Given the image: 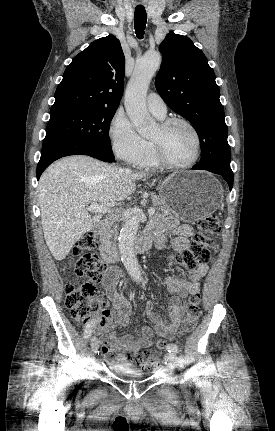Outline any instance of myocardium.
Wrapping results in <instances>:
<instances>
[{"label": "myocardium", "mask_w": 275, "mask_h": 431, "mask_svg": "<svg viewBox=\"0 0 275 431\" xmlns=\"http://www.w3.org/2000/svg\"><path fill=\"white\" fill-rule=\"evenodd\" d=\"M178 123L183 124L186 127H188L190 129V131L192 132V134L194 135L195 142H196L195 155L192 158V160H190L187 163L176 164V163L171 162L166 157L161 142L155 141V140H150V144L152 147V153H153L155 160L157 161V163L160 166L167 168V169H187V168H190L197 163V161L199 160V158L201 156V152H202V141H201L200 134H199L198 130L195 128V126L189 120L182 118V117H168V118L163 119L160 122L158 127H159L161 133L164 134L173 125L178 124Z\"/></svg>", "instance_id": "myocardium-1"}]
</instances>
